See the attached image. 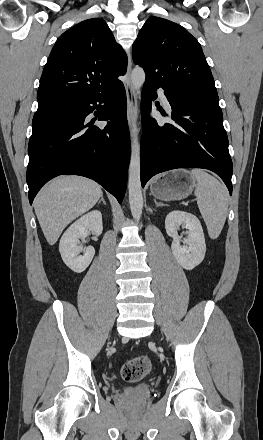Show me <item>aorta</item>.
<instances>
[{"label": "aorta", "mask_w": 263, "mask_h": 440, "mask_svg": "<svg viewBox=\"0 0 263 440\" xmlns=\"http://www.w3.org/2000/svg\"><path fill=\"white\" fill-rule=\"evenodd\" d=\"M145 81V72L141 67H136L131 73V82L134 91L140 92ZM139 130L135 124L132 129L131 157L129 164L128 192L130 210L133 218L139 220L143 209V196L140 180V145L138 141Z\"/></svg>", "instance_id": "1"}]
</instances>
